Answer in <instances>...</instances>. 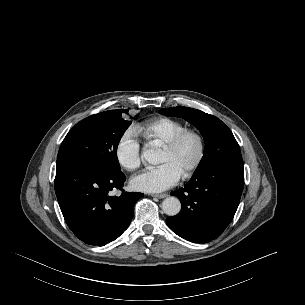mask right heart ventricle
Returning a JSON list of instances; mask_svg holds the SVG:
<instances>
[{"instance_id":"1","label":"right heart ventricle","mask_w":305,"mask_h":305,"mask_svg":"<svg viewBox=\"0 0 305 305\" xmlns=\"http://www.w3.org/2000/svg\"><path fill=\"white\" fill-rule=\"evenodd\" d=\"M187 129L186 125L171 118H157L137 127V131L151 144L164 146L175 135Z\"/></svg>"}]
</instances>
